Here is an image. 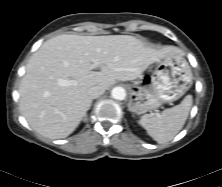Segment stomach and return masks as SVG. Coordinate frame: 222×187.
I'll use <instances>...</instances> for the list:
<instances>
[{
  "instance_id": "1",
  "label": "stomach",
  "mask_w": 222,
  "mask_h": 187,
  "mask_svg": "<svg viewBox=\"0 0 222 187\" xmlns=\"http://www.w3.org/2000/svg\"><path fill=\"white\" fill-rule=\"evenodd\" d=\"M149 86L135 85L129 110L138 115L156 110L162 104L181 98L191 87L193 75L184 55L172 52L157 62Z\"/></svg>"
}]
</instances>
